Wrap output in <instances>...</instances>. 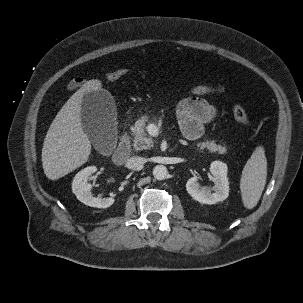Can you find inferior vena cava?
I'll list each match as a JSON object with an SVG mask.
<instances>
[{"mask_svg": "<svg viewBox=\"0 0 303 303\" xmlns=\"http://www.w3.org/2000/svg\"><path fill=\"white\" fill-rule=\"evenodd\" d=\"M145 162L146 159L143 157H139V156L131 157L127 160L126 167L135 170L143 166Z\"/></svg>", "mask_w": 303, "mask_h": 303, "instance_id": "602c4592", "label": "inferior vena cava"}]
</instances>
